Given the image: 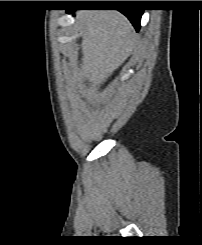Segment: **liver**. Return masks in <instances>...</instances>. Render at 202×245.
<instances>
[{
	"label": "liver",
	"mask_w": 202,
	"mask_h": 245,
	"mask_svg": "<svg viewBox=\"0 0 202 245\" xmlns=\"http://www.w3.org/2000/svg\"><path fill=\"white\" fill-rule=\"evenodd\" d=\"M77 18L84 26L81 75L91 88L99 87L130 56L135 34L127 18L116 11H84Z\"/></svg>",
	"instance_id": "liver-1"
}]
</instances>
